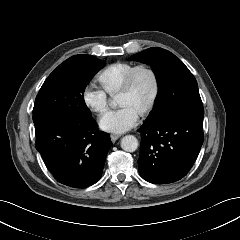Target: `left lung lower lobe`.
I'll return each mask as SVG.
<instances>
[{"label":"left lung lower lobe","instance_id":"1","mask_svg":"<svg viewBox=\"0 0 240 240\" xmlns=\"http://www.w3.org/2000/svg\"><path fill=\"white\" fill-rule=\"evenodd\" d=\"M203 116L177 113L158 123H145L141 133L139 173L153 184H168L182 179L193 166L204 134Z\"/></svg>","mask_w":240,"mask_h":240}]
</instances>
